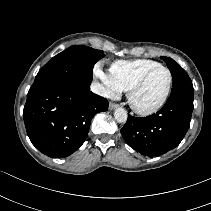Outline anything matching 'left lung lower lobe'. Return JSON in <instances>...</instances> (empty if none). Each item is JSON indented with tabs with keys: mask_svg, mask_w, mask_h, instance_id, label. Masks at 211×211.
Returning <instances> with one entry per match:
<instances>
[{
	"mask_svg": "<svg viewBox=\"0 0 211 211\" xmlns=\"http://www.w3.org/2000/svg\"><path fill=\"white\" fill-rule=\"evenodd\" d=\"M192 95H170L156 114L128 115L121 134L126 143L145 156H157L176 148L184 138L193 111Z\"/></svg>",
	"mask_w": 211,
	"mask_h": 211,
	"instance_id": "left-lung-lower-lobe-1",
	"label": "left lung lower lobe"
}]
</instances>
